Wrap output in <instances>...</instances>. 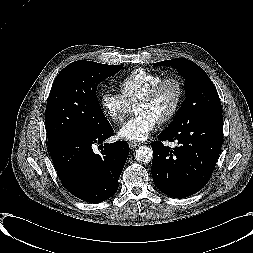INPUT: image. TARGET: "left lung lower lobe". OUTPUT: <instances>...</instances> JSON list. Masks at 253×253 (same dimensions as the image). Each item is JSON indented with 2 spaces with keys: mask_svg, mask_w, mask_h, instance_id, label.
I'll list each match as a JSON object with an SVG mask.
<instances>
[{
  "mask_svg": "<svg viewBox=\"0 0 253 253\" xmlns=\"http://www.w3.org/2000/svg\"><path fill=\"white\" fill-rule=\"evenodd\" d=\"M223 115L191 120L175 129H165L152 142V177L155 186L174 198H185L209 181L222 146ZM178 141L171 149L162 141Z\"/></svg>",
  "mask_w": 253,
  "mask_h": 253,
  "instance_id": "1",
  "label": "left lung lower lobe"
}]
</instances>
